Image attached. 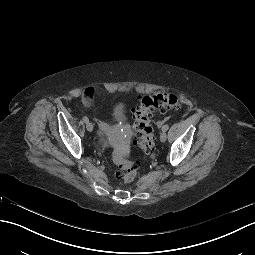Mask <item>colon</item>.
<instances>
[{
	"label": "colon",
	"mask_w": 255,
	"mask_h": 255,
	"mask_svg": "<svg viewBox=\"0 0 255 255\" xmlns=\"http://www.w3.org/2000/svg\"><path fill=\"white\" fill-rule=\"evenodd\" d=\"M92 94L91 89L85 91V95ZM179 108V100L174 94L160 93L145 96L140 100L133 112L135 122L133 129L138 146L145 152H150L154 146L155 137L151 122V115L154 112L166 113L176 111ZM114 161L117 165L116 176L124 183L132 182L139 168L137 162L131 161L120 154L114 155Z\"/></svg>",
	"instance_id": "colon-1"
}]
</instances>
